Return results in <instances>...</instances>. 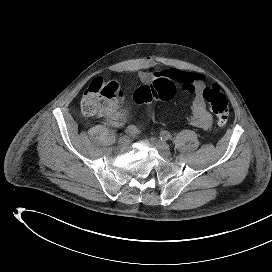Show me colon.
I'll return each instance as SVG.
<instances>
[{"label":"colon","instance_id":"1","mask_svg":"<svg viewBox=\"0 0 272 272\" xmlns=\"http://www.w3.org/2000/svg\"><path fill=\"white\" fill-rule=\"evenodd\" d=\"M175 92L176 85L172 81L158 78L139 87L134 92V100L139 104L154 100H169L173 98ZM202 95L215 115L218 125L221 127L226 125L229 118V104L219 86L204 87ZM121 96L122 91L116 82L95 78L84 92L81 111L88 117L109 118L116 113Z\"/></svg>","mask_w":272,"mask_h":272}]
</instances>
